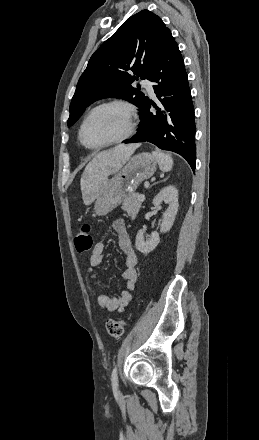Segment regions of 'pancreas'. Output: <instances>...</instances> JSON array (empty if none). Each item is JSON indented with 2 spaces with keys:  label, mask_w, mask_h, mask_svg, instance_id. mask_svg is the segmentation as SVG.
I'll return each instance as SVG.
<instances>
[{
  "label": "pancreas",
  "mask_w": 259,
  "mask_h": 440,
  "mask_svg": "<svg viewBox=\"0 0 259 440\" xmlns=\"http://www.w3.org/2000/svg\"><path fill=\"white\" fill-rule=\"evenodd\" d=\"M138 196L137 193H133L126 197L122 203V209L132 218L137 215L142 204V201L138 200Z\"/></svg>",
  "instance_id": "pancreas-1"
}]
</instances>
